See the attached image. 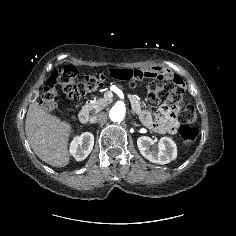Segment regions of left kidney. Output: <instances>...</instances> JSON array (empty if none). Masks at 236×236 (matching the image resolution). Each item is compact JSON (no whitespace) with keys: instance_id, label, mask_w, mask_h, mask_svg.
Returning a JSON list of instances; mask_svg holds the SVG:
<instances>
[{"instance_id":"left-kidney-1","label":"left kidney","mask_w":236,"mask_h":236,"mask_svg":"<svg viewBox=\"0 0 236 236\" xmlns=\"http://www.w3.org/2000/svg\"><path fill=\"white\" fill-rule=\"evenodd\" d=\"M154 141L147 136L137 139V146L140 153L150 162L156 164H167L177 157V146L169 137H162L158 143V150L153 147Z\"/></svg>"}]
</instances>
